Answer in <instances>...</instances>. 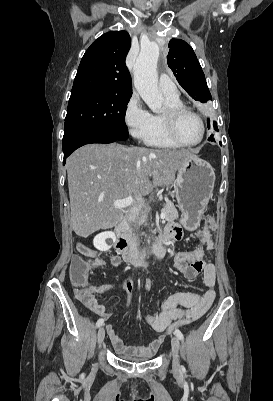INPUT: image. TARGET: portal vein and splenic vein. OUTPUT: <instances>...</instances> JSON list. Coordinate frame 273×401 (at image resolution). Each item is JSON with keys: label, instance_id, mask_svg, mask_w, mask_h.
<instances>
[{"label": "portal vein and splenic vein", "instance_id": "18ae733b", "mask_svg": "<svg viewBox=\"0 0 273 401\" xmlns=\"http://www.w3.org/2000/svg\"><path fill=\"white\" fill-rule=\"evenodd\" d=\"M132 203H134L133 201V196H131V194H129V196H127V198H122V201H115V203H113L114 207H117V209H123V207H130V205H132ZM160 219H165V213H161L160 215Z\"/></svg>", "mask_w": 273, "mask_h": 401}]
</instances>
